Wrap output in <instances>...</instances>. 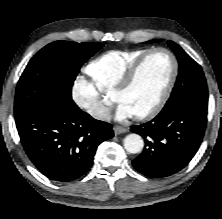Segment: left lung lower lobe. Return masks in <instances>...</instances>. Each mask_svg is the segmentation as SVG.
Wrapping results in <instances>:
<instances>
[{"instance_id":"obj_1","label":"left lung lower lobe","mask_w":222,"mask_h":219,"mask_svg":"<svg viewBox=\"0 0 222 219\" xmlns=\"http://www.w3.org/2000/svg\"><path fill=\"white\" fill-rule=\"evenodd\" d=\"M207 123V105L179 99L165 105L151 121L131 128L146 143L132 161L134 168L151 178L166 177L184 168L197 152Z\"/></svg>"}]
</instances>
